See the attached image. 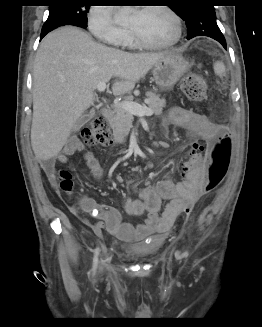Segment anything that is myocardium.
Returning <instances> with one entry per match:
<instances>
[{
  "mask_svg": "<svg viewBox=\"0 0 262 327\" xmlns=\"http://www.w3.org/2000/svg\"><path fill=\"white\" fill-rule=\"evenodd\" d=\"M144 9H157L167 13L174 22L175 34L169 41L163 43H155L144 39L134 29L129 28L130 35L132 36L135 43L140 47L148 49H166L175 46L180 41L183 34L182 20L177 14V12L173 10L170 6L163 4L153 5L150 7L143 8L142 10Z\"/></svg>",
  "mask_w": 262,
  "mask_h": 327,
  "instance_id": "obj_1",
  "label": "myocardium"
}]
</instances>
